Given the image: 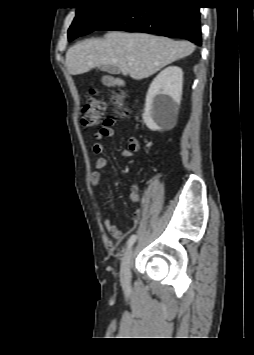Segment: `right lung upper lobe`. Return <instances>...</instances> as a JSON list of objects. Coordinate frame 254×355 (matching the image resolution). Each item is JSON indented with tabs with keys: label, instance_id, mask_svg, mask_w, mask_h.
Segmentation results:
<instances>
[{
	"label": "right lung upper lobe",
	"instance_id": "right-lung-upper-lobe-1",
	"mask_svg": "<svg viewBox=\"0 0 254 355\" xmlns=\"http://www.w3.org/2000/svg\"><path fill=\"white\" fill-rule=\"evenodd\" d=\"M88 1L91 2V1H94V0H88ZM116 1L126 3V2H129V1H131V0H116Z\"/></svg>",
	"mask_w": 254,
	"mask_h": 355
}]
</instances>
